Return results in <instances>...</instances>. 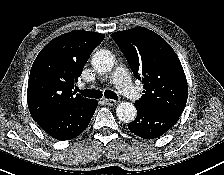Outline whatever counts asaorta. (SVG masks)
Listing matches in <instances>:
<instances>
[{"label": "aorta", "mask_w": 224, "mask_h": 175, "mask_svg": "<svg viewBox=\"0 0 224 175\" xmlns=\"http://www.w3.org/2000/svg\"><path fill=\"white\" fill-rule=\"evenodd\" d=\"M91 62L93 67L100 72L111 71L114 66L113 54L108 50L101 49L93 55ZM136 115L137 110L132 103L120 102L116 108V116L125 123L134 121Z\"/></svg>", "instance_id": "aorta-1"}]
</instances>
